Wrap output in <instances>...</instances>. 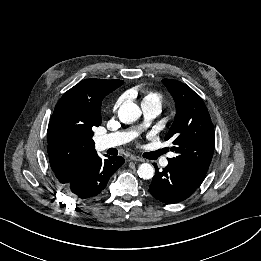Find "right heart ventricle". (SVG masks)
Wrapping results in <instances>:
<instances>
[{
  "mask_svg": "<svg viewBox=\"0 0 261 261\" xmlns=\"http://www.w3.org/2000/svg\"><path fill=\"white\" fill-rule=\"evenodd\" d=\"M163 102V97L156 92H149L147 93L144 98H143V104H148V105H157L158 107L161 108Z\"/></svg>",
  "mask_w": 261,
  "mask_h": 261,
  "instance_id": "right-heart-ventricle-1",
  "label": "right heart ventricle"
}]
</instances>
